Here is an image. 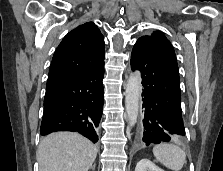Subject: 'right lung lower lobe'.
Returning <instances> with one entry per match:
<instances>
[{"instance_id":"98d812e1","label":"right lung lower lobe","mask_w":223,"mask_h":171,"mask_svg":"<svg viewBox=\"0 0 223 171\" xmlns=\"http://www.w3.org/2000/svg\"><path fill=\"white\" fill-rule=\"evenodd\" d=\"M104 64L92 72L46 87L41 135L56 131H76L98 141L102 116Z\"/></svg>"}]
</instances>
